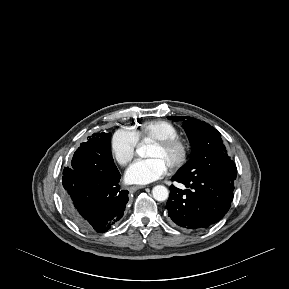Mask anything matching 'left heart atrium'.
I'll use <instances>...</instances> for the list:
<instances>
[{
    "label": "left heart atrium",
    "mask_w": 289,
    "mask_h": 289,
    "mask_svg": "<svg viewBox=\"0 0 289 289\" xmlns=\"http://www.w3.org/2000/svg\"><path fill=\"white\" fill-rule=\"evenodd\" d=\"M167 167L156 158L140 160L132 164L126 172L129 183L147 184L165 175Z\"/></svg>",
    "instance_id": "left-heart-atrium-1"
}]
</instances>
